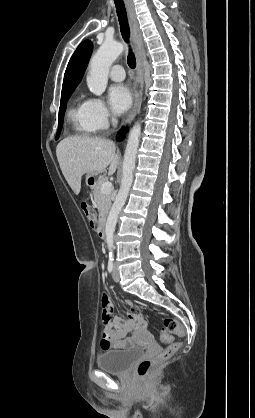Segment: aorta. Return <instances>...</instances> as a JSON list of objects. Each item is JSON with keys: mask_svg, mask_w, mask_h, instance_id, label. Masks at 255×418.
<instances>
[{"mask_svg": "<svg viewBox=\"0 0 255 418\" xmlns=\"http://www.w3.org/2000/svg\"><path fill=\"white\" fill-rule=\"evenodd\" d=\"M123 50L124 46L122 43L105 41L92 57L87 76V85L89 90L96 96H101L104 93L107 87L110 67ZM140 134L141 125L136 123L127 140L121 186L109 212L105 227L106 244L110 254H112L114 248L113 239L118 215L126 202L133 183V171L135 169Z\"/></svg>", "mask_w": 255, "mask_h": 418, "instance_id": "obj_1", "label": "aorta"}]
</instances>
